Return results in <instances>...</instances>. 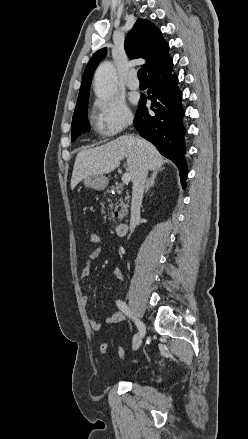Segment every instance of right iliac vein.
I'll use <instances>...</instances> for the list:
<instances>
[{
	"label": "right iliac vein",
	"mask_w": 248,
	"mask_h": 439,
	"mask_svg": "<svg viewBox=\"0 0 248 439\" xmlns=\"http://www.w3.org/2000/svg\"><path fill=\"white\" fill-rule=\"evenodd\" d=\"M140 322H141V321H140ZM138 330L140 331L139 328H138ZM145 331H146V329H145ZM144 336H145V335H144ZM144 336H141L140 334H138V337H137L136 341H135L134 344H133V349H134V350H136V349L139 348V346H140V344H141L142 339H143Z\"/></svg>",
	"instance_id": "1"
}]
</instances>
